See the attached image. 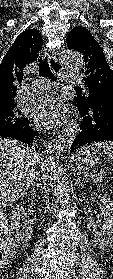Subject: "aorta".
Returning <instances> with one entry per match:
<instances>
[{
	"label": "aorta",
	"mask_w": 113,
	"mask_h": 279,
	"mask_svg": "<svg viewBox=\"0 0 113 279\" xmlns=\"http://www.w3.org/2000/svg\"><path fill=\"white\" fill-rule=\"evenodd\" d=\"M60 56L64 65L70 70L77 71L84 65V59L77 51L62 49ZM72 134L73 130L67 129L53 139L46 147L43 163V170L50 183L51 190L63 207L69 206L70 189L66 173L61 164V152L69 146Z\"/></svg>",
	"instance_id": "aorta-1"
}]
</instances>
